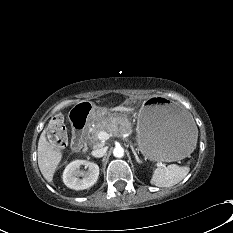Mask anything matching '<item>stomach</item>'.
Masks as SVG:
<instances>
[{"label": "stomach", "mask_w": 233, "mask_h": 233, "mask_svg": "<svg viewBox=\"0 0 233 233\" xmlns=\"http://www.w3.org/2000/svg\"><path fill=\"white\" fill-rule=\"evenodd\" d=\"M106 112L90 115L99 122ZM117 114H108L116 121ZM137 144L141 153L151 161L170 162L183 159L198 147L199 131L195 118L177 103L163 98L146 101L137 116Z\"/></svg>", "instance_id": "obj_1"}]
</instances>
